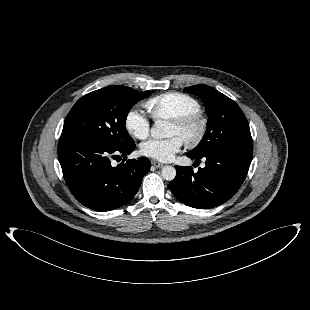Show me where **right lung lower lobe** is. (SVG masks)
<instances>
[{"instance_id": "right-lung-lower-lobe-1", "label": "right lung lower lobe", "mask_w": 310, "mask_h": 310, "mask_svg": "<svg viewBox=\"0 0 310 310\" xmlns=\"http://www.w3.org/2000/svg\"><path fill=\"white\" fill-rule=\"evenodd\" d=\"M134 148V141L122 147L93 140L61 141L58 159L74 197L96 211L113 210L130 201L150 170V161L146 157L124 159L114 167L110 159L119 154L126 157Z\"/></svg>"}]
</instances>
